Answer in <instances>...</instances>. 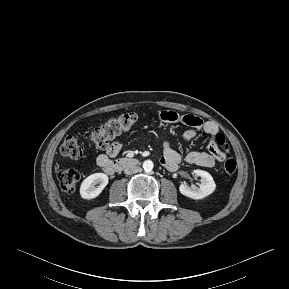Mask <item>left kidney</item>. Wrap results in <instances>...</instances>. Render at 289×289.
<instances>
[{"mask_svg":"<svg viewBox=\"0 0 289 289\" xmlns=\"http://www.w3.org/2000/svg\"><path fill=\"white\" fill-rule=\"evenodd\" d=\"M193 173L201 177V183L199 187H190L186 184H181L179 187L180 193L195 200L202 199L212 194L216 189V184L213 180V177L208 172L199 169L194 170Z\"/></svg>","mask_w":289,"mask_h":289,"instance_id":"obj_1","label":"left kidney"}]
</instances>
